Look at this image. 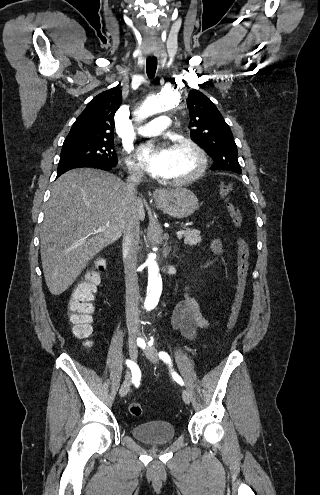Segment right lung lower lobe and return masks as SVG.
Here are the masks:
<instances>
[{"label": "right lung lower lobe", "mask_w": 320, "mask_h": 495, "mask_svg": "<svg viewBox=\"0 0 320 495\" xmlns=\"http://www.w3.org/2000/svg\"><path fill=\"white\" fill-rule=\"evenodd\" d=\"M117 164H113V165H110V164H103V163H90V164H85V165H81V166H76V167H72V168H69L67 170H64V171H59L57 173V177L60 176L61 174L65 173L66 171L70 170V169H74V168H80V167H93V168H98V169H102V170H111L113 167H115Z\"/></svg>", "instance_id": "right-lung-lower-lobe-1"}]
</instances>
